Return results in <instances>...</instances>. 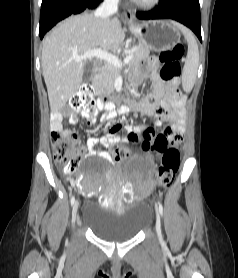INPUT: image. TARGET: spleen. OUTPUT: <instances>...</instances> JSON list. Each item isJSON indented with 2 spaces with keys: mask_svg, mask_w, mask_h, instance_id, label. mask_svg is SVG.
<instances>
[{
  "mask_svg": "<svg viewBox=\"0 0 238 278\" xmlns=\"http://www.w3.org/2000/svg\"><path fill=\"white\" fill-rule=\"evenodd\" d=\"M184 34L188 43V52L185 65L182 71V86L184 91L190 92L195 83L198 64H199V51L193 33L185 26L172 22Z\"/></svg>",
  "mask_w": 238,
  "mask_h": 278,
  "instance_id": "spleen-1",
  "label": "spleen"
}]
</instances>
